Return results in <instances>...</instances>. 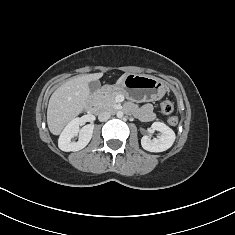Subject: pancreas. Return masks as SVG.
I'll return each mask as SVG.
<instances>
[{"mask_svg":"<svg viewBox=\"0 0 235 235\" xmlns=\"http://www.w3.org/2000/svg\"><path fill=\"white\" fill-rule=\"evenodd\" d=\"M121 94L117 91H106L104 93H99L95 97V103L99 108L114 110L116 109V97Z\"/></svg>","mask_w":235,"mask_h":235,"instance_id":"1","label":"pancreas"}]
</instances>
